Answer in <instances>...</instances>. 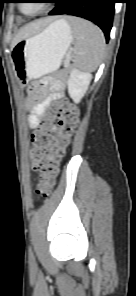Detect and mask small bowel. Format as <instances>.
I'll return each instance as SVG.
<instances>
[{
  "instance_id": "obj_1",
  "label": "small bowel",
  "mask_w": 136,
  "mask_h": 296,
  "mask_svg": "<svg viewBox=\"0 0 136 296\" xmlns=\"http://www.w3.org/2000/svg\"><path fill=\"white\" fill-rule=\"evenodd\" d=\"M48 81L43 80L41 83H33L31 86L30 103L32 104L28 118L31 130H36L41 124V118L45 109L53 102L58 101L64 96V86L59 83H53L46 93Z\"/></svg>"
}]
</instances>
